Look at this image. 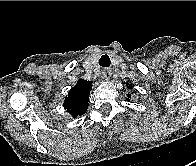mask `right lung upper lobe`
<instances>
[{
  "mask_svg": "<svg viewBox=\"0 0 196 166\" xmlns=\"http://www.w3.org/2000/svg\"><path fill=\"white\" fill-rule=\"evenodd\" d=\"M91 88V81L81 79L68 93L65 98L64 108L73 117L83 115L87 111Z\"/></svg>",
  "mask_w": 196,
  "mask_h": 166,
  "instance_id": "1",
  "label": "right lung upper lobe"
}]
</instances>
